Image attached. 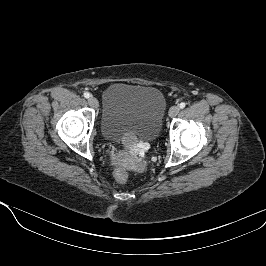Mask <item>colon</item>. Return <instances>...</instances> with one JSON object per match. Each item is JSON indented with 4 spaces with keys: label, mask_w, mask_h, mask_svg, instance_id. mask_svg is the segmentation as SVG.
Returning <instances> with one entry per match:
<instances>
[{
    "label": "colon",
    "mask_w": 266,
    "mask_h": 266,
    "mask_svg": "<svg viewBox=\"0 0 266 266\" xmlns=\"http://www.w3.org/2000/svg\"><path fill=\"white\" fill-rule=\"evenodd\" d=\"M114 177L118 183L124 184L128 181L129 173L125 168L119 167L114 171Z\"/></svg>",
    "instance_id": "5ec220e1"
}]
</instances>
